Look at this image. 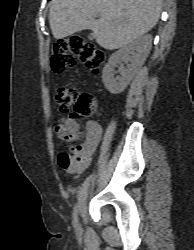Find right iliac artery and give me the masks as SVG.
<instances>
[{"instance_id":"obj_1","label":"right iliac artery","mask_w":194,"mask_h":250,"mask_svg":"<svg viewBox=\"0 0 194 250\" xmlns=\"http://www.w3.org/2000/svg\"><path fill=\"white\" fill-rule=\"evenodd\" d=\"M78 223V205L75 204L73 209V226L76 228Z\"/></svg>"}]
</instances>
